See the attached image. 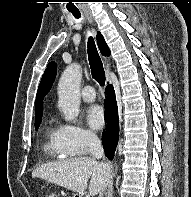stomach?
<instances>
[{
	"label": "stomach",
	"mask_w": 191,
	"mask_h": 197,
	"mask_svg": "<svg viewBox=\"0 0 191 197\" xmlns=\"http://www.w3.org/2000/svg\"><path fill=\"white\" fill-rule=\"evenodd\" d=\"M73 197H82L80 194H75Z\"/></svg>",
	"instance_id": "stomach-1"
}]
</instances>
